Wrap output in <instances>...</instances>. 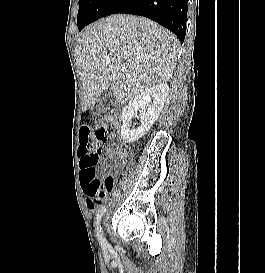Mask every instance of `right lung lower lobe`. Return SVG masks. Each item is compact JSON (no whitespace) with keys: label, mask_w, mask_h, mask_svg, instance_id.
<instances>
[{"label":"right lung lower lobe","mask_w":265,"mask_h":273,"mask_svg":"<svg viewBox=\"0 0 265 273\" xmlns=\"http://www.w3.org/2000/svg\"><path fill=\"white\" fill-rule=\"evenodd\" d=\"M187 10V0H117L107 15L126 13L148 17L171 30L183 43Z\"/></svg>","instance_id":"obj_1"}]
</instances>
